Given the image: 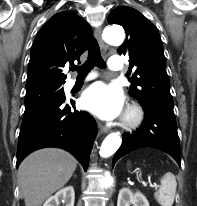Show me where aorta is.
I'll use <instances>...</instances> for the list:
<instances>
[{
  "label": "aorta",
  "instance_id": "1",
  "mask_svg": "<svg viewBox=\"0 0 197 206\" xmlns=\"http://www.w3.org/2000/svg\"><path fill=\"white\" fill-rule=\"evenodd\" d=\"M125 34L121 27H107L103 32L104 40L110 45H120L124 40ZM121 138L117 133L109 134L102 142L100 148L101 157H109L113 155L121 145ZM112 178L109 173H106V177L102 180V185L105 188L112 186Z\"/></svg>",
  "mask_w": 197,
  "mask_h": 206
}]
</instances>
